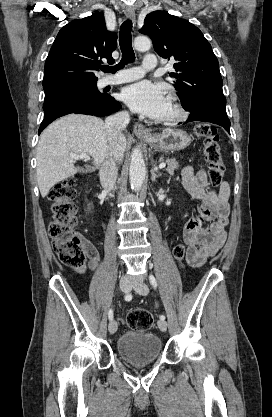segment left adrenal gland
<instances>
[{"mask_svg": "<svg viewBox=\"0 0 272 417\" xmlns=\"http://www.w3.org/2000/svg\"><path fill=\"white\" fill-rule=\"evenodd\" d=\"M160 176H162L161 173H158L157 174V173H155V170L154 169H151V180H152V182H155L156 178H158Z\"/></svg>", "mask_w": 272, "mask_h": 417, "instance_id": "1", "label": "left adrenal gland"}]
</instances>
